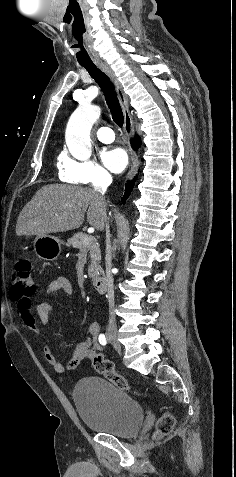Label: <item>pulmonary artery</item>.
Listing matches in <instances>:
<instances>
[{"mask_svg": "<svg viewBox=\"0 0 236 477\" xmlns=\"http://www.w3.org/2000/svg\"><path fill=\"white\" fill-rule=\"evenodd\" d=\"M96 136L103 143H111L115 139L114 132L108 127L98 128Z\"/></svg>", "mask_w": 236, "mask_h": 477, "instance_id": "e3ab8cb5", "label": "pulmonary artery"}]
</instances>
